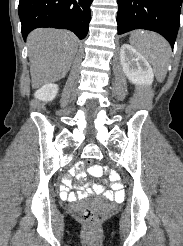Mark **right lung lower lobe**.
<instances>
[{"label": "right lung lower lobe", "instance_id": "right-lung-lower-lobe-1", "mask_svg": "<svg viewBox=\"0 0 183 246\" xmlns=\"http://www.w3.org/2000/svg\"><path fill=\"white\" fill-rule=\"evenodd\" d=\"M93 0H20L18 13L24 40L33 29L52 27L68 29L79 39L88 33Z\"/></svg>", "mask_w": 183, "mask_h": 246}]
</instances>
